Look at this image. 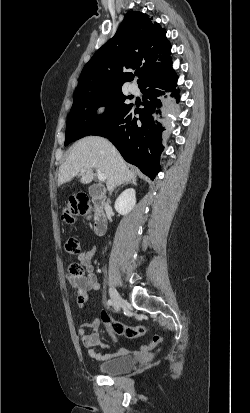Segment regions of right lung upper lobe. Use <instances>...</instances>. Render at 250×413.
Listing matches in <instances>:
<instances>
[{"instance_id":"right-lung-upper-lobe-1","label":"right lung upper lobe","mask_w":250,"mask_h":413,"mask_svg":"<svg viewBox=\"0 0 250 413\" xmlns=\"http://www.w3.org/2000/svg\"><path fill=\"white\" fill-rule=\"evenodd\" d=\"M171 45L166 31L147 14H127L116 34L84 66L76 94L122 89L134 77L123 69H139L140 85L147 78L171 70Z\"/></svg>"}]
</instances>
